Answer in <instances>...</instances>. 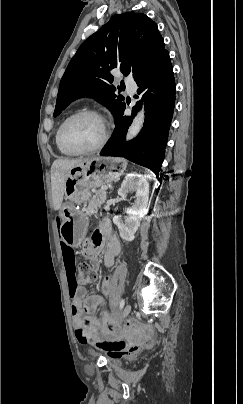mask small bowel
Listing matches in <instances>:
<instances>
[{
	"label": "small bowel",
	"mask_w": 243,
	"mask_h": 404,
	"mask_svg": "<svg viewBox=\"0 0 243 404\" xmlns=\"http://www.w3.org/2000/svg\"><path fill=\"white\" fill-rule=\"evenodd\" d=\"M61 251L72 299L71 313L75 336L82 344H96L100 335L109 330L113 319L107 311H102L99 316L94 315V311L103 302L102 297L94 295L84 299L85 290L78 284L75 275V252L65 243L61 246ZM120 252V242L108 220L102 221L84 244V253L94 268L99 267L101 256L106 267L113 266Z\"/></svg>",
	"instance_id": "c3829d8e"
}]
</instances>
